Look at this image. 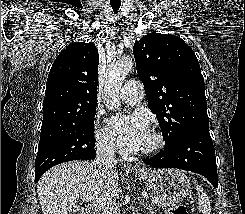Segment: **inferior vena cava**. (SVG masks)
<instances>
[{"label": "inferior vena cava", "instance_id": "inferior-vena-cava-1", "mask_svg": "<svg viewBox=\"0 0 245 214\" xmlns=\"http://www.w3.org/2000/svg\"><path fill=\"white\" fill-rule=\"evenodd\" d=\"M97 159L96 164L100 168H112L117 164L113 149L104 141L96 143Z\"/></svg>", "mask_w": 245, "mask_h": 214}]
</instances>
